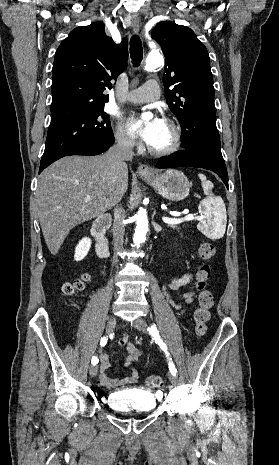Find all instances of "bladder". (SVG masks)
Instances as JSON below:
<instances>
[{
    "label": "bladder",
    "mask_w": 279,
    "mask_h": 465,
    "mask_svg": "<svg viewBox=\"0 0 279 465\" xmlns=\"http://www.w3.org/2000/svg\"><path fill=\"white\" fill-rule=\"evenodd\" d=\"M106 402L119 412L149 413L157 406V400L152 392L135 388L113 391L108 394Z\"/></svg>",
    "instance_id": "obj_1"
}]
</instances>
